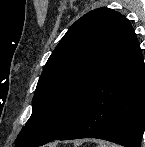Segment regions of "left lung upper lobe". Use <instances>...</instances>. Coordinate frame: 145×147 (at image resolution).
<instances>
[{
	"mask_svg": "<svg viewBox=\"0 0 145 147\" xmlns=\"http://www.w3.org/2000/svg\"><path fill=\"white\" fill-rule=\"evenodd\" d=\"M125 21L120 13L98 8L73 23L43 69L32 115L18 135L16 147L41 146L71 125Z\"/></svg>",
	"mask_w": 145,
	"mask_h": 147,
	"instance_id": "5c2ea615",
	"label": "left lung upper lobe"
}]
</instances>
